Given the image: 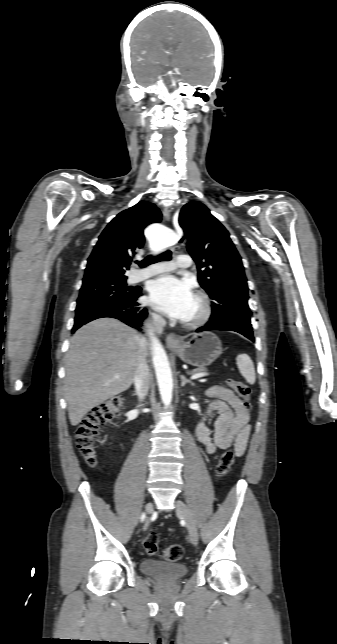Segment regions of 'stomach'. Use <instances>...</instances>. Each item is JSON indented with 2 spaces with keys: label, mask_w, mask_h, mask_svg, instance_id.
<instances>
[{
  "label": "stomach",
  "mask_w": 337,
  "mask_h": 644,
  "mask_svg": "<svg viewBox=\"0 0 337 644\" xmlns=\"http://www.w3.org/2000/svg\"><path fill=\"white\" fill-rule=\"evenodd\" d=\"M170 348L183 362L198 369L212 364L223 351L220 339L211 332L194 334L189 341Z\"/></svg>",
  "instance_id": "0dacf381"
}]
</instances>
